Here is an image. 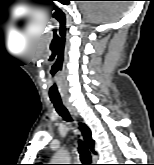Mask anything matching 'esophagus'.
Instances as JSON below:
<instances>
[{
  "instance_id": "obj_1",
  "label": "esophagus",
  "mask_w": 154,
  "mask_h": 165,
  "mask_svg": "<svg viewBox=\"0 0 154 165\" xmlns=\"http://www.w3.org/2000/svg\"><path fill=\"white\" fill-rule=\"evenodd\" d=\"M63 104L66 106V108L74 115L77 116L75 108L70 104V102L67 99L63 98Z\"/></svg>"
}]
</instances>
